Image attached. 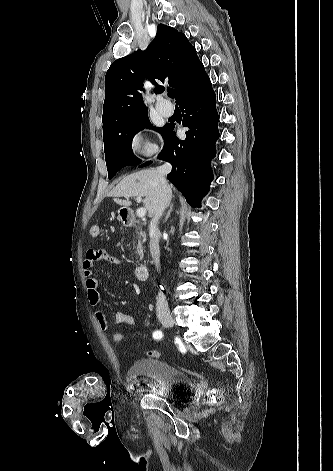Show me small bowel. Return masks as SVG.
<instances>
[{"instance_id": "c3829d8e", "label": "small bowel", "mask_w": 333, "mask_h": 471, "mask_svg": "<svg viewBox=\"0 0 333 471\" xmlns=\"http://www.w3.org/2000/svg\"><path fill=\"white\" fill-rule=\"evenodd\" d=\"M97 261H106L113 264H120L121 261L104 249L88 250L86 253V257L83 261V273L86 280L88 301L90 305L94 307V317L99 327L101 328V330L107 331L110 325L105 312L101 308H99V304L101 302V294L98 289L99 281L97 277L94 276V265ZM114 323L116 325H135L136 320L130 314L117 312L114 317ZM148 324L149 320H144V325Z\"/></svg>"}]
</instances>
